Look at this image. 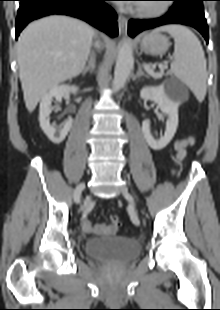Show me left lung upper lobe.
<instances>
[{"label": "left lung upper lobe", "mask_w": 220, "mask_h": 310, "mask_svg": "<svg viewBox=\"0 0 220 310\" xmlns=\"http://www.w3.org/2000/svg\"><path fill=\"white\" fill-rule=\"evenodd\" d=\"M194 1H196V4H198L200 6H203V1L204 0H194Z\"/></svg>", "instance_id": "obj_1"}]
</instances>
